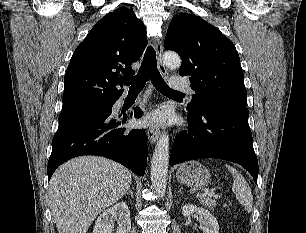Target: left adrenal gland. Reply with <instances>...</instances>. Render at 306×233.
Segmentation results:
<instances>
[{"instance_id": "1", "label": "left adrenal gland", "mask_w": 306, "mask_h": 233, "mask_svg": "<svg viewBox=\"0 0 306 233\" xmlns=\"http://www.w3.org/2000/svg\"><path fill=\"white\" fill-rule=\"evenodd\" d=\"M183 191V187L180 188V190L178 191V194L182 193Z\"/></svg>"}]
</instances>
